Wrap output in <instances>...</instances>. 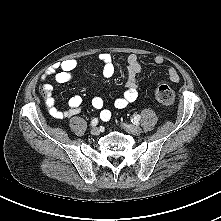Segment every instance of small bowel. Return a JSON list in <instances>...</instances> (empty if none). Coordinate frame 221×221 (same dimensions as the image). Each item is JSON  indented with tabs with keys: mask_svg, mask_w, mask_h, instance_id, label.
Segmentation results:
<instances>
[{
	"mask_svg": "<svg viewBox=\"0 0 221 221\" xmlns=\"http://www.w3.org/2000/svg\"><path fill=\"white\" fill-rule=\"evenodd\" d=\"M98 59L102 63V75L105 78H110L115 72V66L113 58L109 53H100ZM155 63L161 65L164 63V58L157 56ZM78 66L76 59H66L58 65H54L51 69L42 76L43 85L42 89L47 95L45 104L48 112L51 116L63 119L75 116L80 113L82 107V97L80 95H73L68 101V108L65 110H58L54 105V99L50 96L52 91V85L47 79L54 75V79L59 84H64L72 80L73 73ZM140 72V65L135 54H129L127 56V81L126 89L121 96L115 99L114 106L117 109H124L130 103L134 102L138 98L137 88V75ZM167 76L170 82L177 83L180 80L179 73L174 67L167 68ZM93 108L100 111L101 120L107 122L111 119V111L104 108V100L100 96H95L91 100Z\"/></svg>",
	"mask_w": 221,
	"mask_h": 221,
	"instance_id": "obj_1",
	"label": "small bowel"
}]
</instances>
